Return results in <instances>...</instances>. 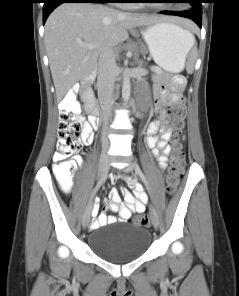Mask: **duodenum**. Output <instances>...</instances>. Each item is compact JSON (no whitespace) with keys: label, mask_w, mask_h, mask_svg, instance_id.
Returning a JSON list of instances; mask_svg holds the SVG:
<instances>
[{"label":"duodenum","mask_w":239,"mask_h":296,"mask_svg":"<svg viewBox=\"0 0 239 296\" xmlns=\"http://www.w3.org/2000/svg\"><path fill=\"white\" fill-rule=\"evenodd\" d=\"M95 76H96V72L92 71L86 78L83 79L82 86L85 88L86 91L90 88L91 84L95 79ZM86 102H87V108L90 112V123L93 126V128H97L99 124L98 107L89 98H86Z\"/></svg>","instance_id":"obj_1"}]
</instances>
